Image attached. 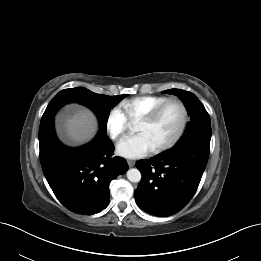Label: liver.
<instances>
[{"instance_id": "obj_1", "label": "liver", "mask_w": 261, "mask_h": 261, "mask_svg": "<svg viewBox=\"0 0 261 261\" xmlns=\"http://www.w3.org/2000/svg\"><path fill=\"white\" fill-rule=\"evenodd\" d=\"M65 127L70 140L83 143L90 140L96 133L97 121L91 111L82 109L67 120Z\"/></svg>"}]
</instances>
